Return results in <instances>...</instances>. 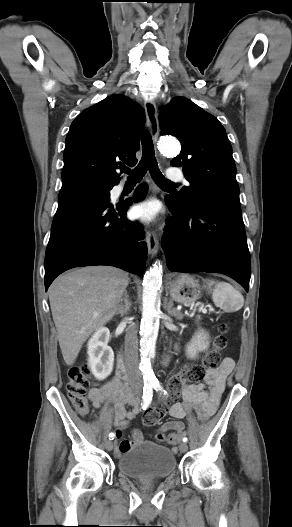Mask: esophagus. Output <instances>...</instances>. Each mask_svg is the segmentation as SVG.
I'll return each instance as SVG.
<instances>
[{
	"instance_id": "34e87169",
	"label": "esophagus",
	"mask_w": 292,
	"mask_h": 527,
	"mask_svg": "<svg viewBox=\"0 0 292 527\" xmlns=\"http://www.w3.org/2000/svg\"><path fill=\"white\" fill-rule=\"evenodd\" d=\"M144 107L149 133L153 138H156L158 134V118L156 104L154 101H146ZM146 242L148 253L152 256H155L159 248V240L157 234L154 231H147Z\"/></svg>"
}]
</instances>
